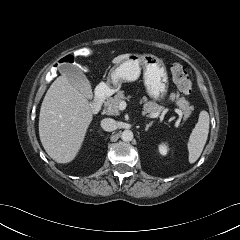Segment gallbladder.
<instances>
[{
  "instance_id": "1",
  "label": "gallbladder",
  "mask_w": 240,
  "mask_h": 240,
  "mask_svg": "<svg viewBox=\"0 0 240 240\" xmlns=\"http://www.w3.org/2000/svg\"><path fill=\"white\" fill-rule=\"evenodd\" d=\"M60 71L66 75L68 82L72 86L83 93L88 99H92L91 84L79 65L65 64L61 66Z\"/></svg>"
}]
</instances>
